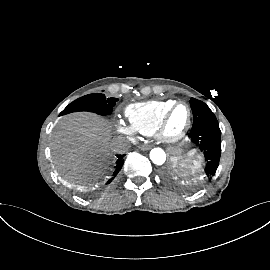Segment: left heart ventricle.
I'll list each match as a JSON object with an SVG mask.
<instances>
[{
	"instance_id": "left-heart-ventricle-1",
	"label": "left heart ventricle",
	"mask_w": 270,
	"mask_h": 270,
	"mask_svg": "<svg viewBox=\"0 0 270 270\" xmlns=\"http://www.w3.org/2000/svg\"><path fill=\"white\" fill-rule=\"evenodd\" d=\"M188 119V111L185 106H178L171 113L166 131L169 135H176L185 127Z\"/></svg>"
}]
</instances>
